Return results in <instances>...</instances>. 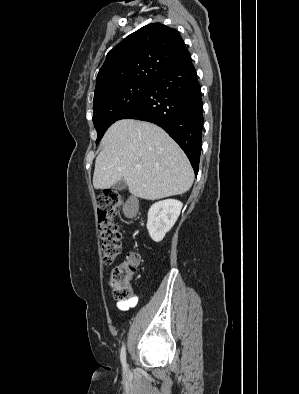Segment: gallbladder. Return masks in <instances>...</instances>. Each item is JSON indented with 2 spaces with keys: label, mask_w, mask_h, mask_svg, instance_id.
I'll use <instances>...</instances> for the list:
<instances>
[{
  "label": "gallbladder",
  "mask_w": 299,
  "mask_h": 394,
  "mask_svg": "<svg viewBox=\"0 0 299 394\" xmlns=\"http://www.w3.org/2000/svg\"><path fill=\"white\" fill-rule=\"evenodd\" d=\"M126 181L124 179L119 180L118 182H116L113 186V188L115 190H123L126 188Z\"/></svg>",
  "instance_id": "bac80fb5"
}]
</instances>
